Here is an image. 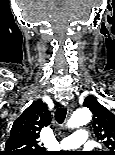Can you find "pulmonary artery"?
Here are the masks:
<instances>
[{"label": "pulmonary artery", "instance_id": "pulmonary-artery-1", "mask_svg": "<svg viewBox=\"0 0 115 155\" xmlns=\"http://www.w3.org/2000/svg\"><path fill=\"white\" fill-rule=\"evenodd\" d=\"M88 133L84 129H78L71 135L65 137L59 142L61 149H75L87 142Z\"/></svg>", "mask_w": 115, "mask_h": 155}]
</instances>
